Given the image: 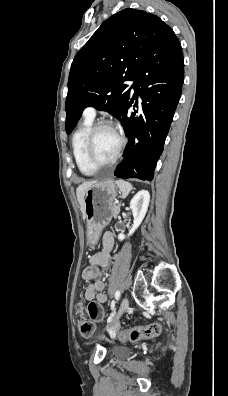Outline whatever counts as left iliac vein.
Wrapping results in <instances>:
<instances>
[{"mask_svg":"<svg viewBox=\"0 0 228 396\" xmlns=\"http://www.w3.org/2000/svg\"><path fill=\"white\" fill-rule=\"evenodd\" d=\"M128 306H129V300H128L127 297H124V298L122 299L121 304H120L119 311H118L116 317L113 319V321H112L110 327H111V326H114V325H116V324L118 323L120 317H121V316L123 315V313L128 309Z\"/></svg>","mask_w":228,"mask_h":396,"instance_id":"1","label":"left iliac vein"}]
</instances>
